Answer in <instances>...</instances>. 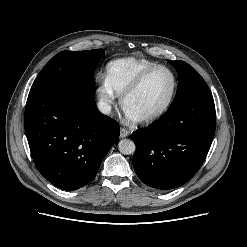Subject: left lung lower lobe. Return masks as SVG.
Segmentation results:
<instances>
[{
    "instance_id": "0a47b994",
    "label": "left lung lower lobe",
    "mask_w": 247,
    "mask_h": 247,
    "mask_svg": "<svg viewBox=\"0 0 247 247\" xmlns=\"http://www.w3.org/2000/svg\"><path fill=\"white\" fill-rule=\"evenodd\" d=\"M216 127L213 97H195L169 107L150 126L133 132V166L153 188L174 189L188 182L203 164Z\"/></svg>"
}]
</instances>
